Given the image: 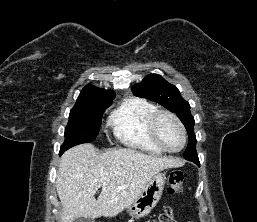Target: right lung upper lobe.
Returning <instances> with one entry per match:
<instances>
[{"mask_svg": "<svg viewBox=\"0 0 257 222\" xmlns=\"http://www.w3.org/2000/svg\"><path fill=\"white\" fill-rule=\"evenodd\" d=\"M115 97V92L112 90L99 89L93 85H86L78 99L76 104L82 102H94V101H112Z\"/></svg>", "mask_w": 257, "mask_h": 222, "instance_id": "right-lung-upper-lobe-1", "label": "right lung upper lobe"}]
</instances>
